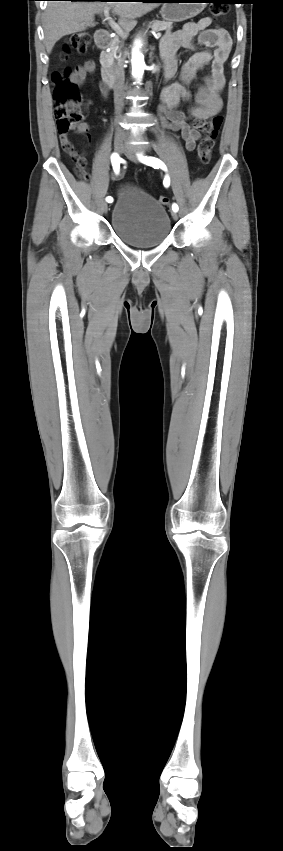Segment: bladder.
<instances>
[{
  "label": "bladder",
  "mask_w": 283,
  "mask_h": 851,
  "mask_svg": "<svg viewBox=\"0 0 283 851\" xmlns=\"http://www.w3.org/2000/svg\"><path fill=\"white\" fill-rule=\"evenodd\" d=\"M111 226L123 243L135 248L158 246L171 231L165 207L135 186L122 189L113 206Z\"/></svg>",
  "instance_id": "31cf9c89"
}]
</instances>
